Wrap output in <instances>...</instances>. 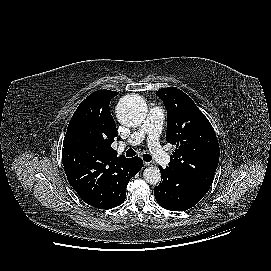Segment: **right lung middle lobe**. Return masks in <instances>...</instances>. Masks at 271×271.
Returning a JSON list of instances; mask_svg holds the SVG:
<instances>
[{"label": "right lung middle lobe", "instance_id": "obj_1", "mask_svg": "<svg viewBox=\"0 0 271 271\" xmlns=\"http://www.w3.org/2000/svg\"><path fill=\"white\" fill-rule=\"evenodd\" d=\"M90 140V131L84 126H79L65 135L63 145L66 149L88 152Z\"/></svg>", "mask_w": 271, "mask_h": 271}]
</instances>
